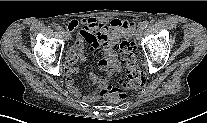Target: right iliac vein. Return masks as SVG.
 I'll return each mask as SVG.
<instances>
[{
  "label": "right iliac vein",
  "instance_id": "right-iliac-vein-1",
  "mask_svg": "<svg viewBox=\"0 0 207 123\" xmlns=\"http://www.w3.org/2000/svg\"><path fill=\"white\" fill-rule=\"evenodd\" d=\"M63 35H64V37H65L66 40L69 39V34L66 31L63 32Z\"/></svg>",
  "mask_w": 207,
  "mask_h": 123
}]
</instances>
